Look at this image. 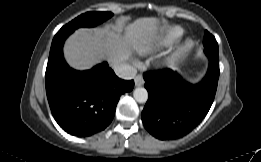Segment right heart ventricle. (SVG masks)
<instances>
[{"instance_id":"1","label":"right heart ventricle","mask_w":261,"mask_h":162,"mask_svg":"<svg viewBox=\"0 0 261 162\" xmlns=\"http://www.w3.org/2000/svg\"><path fill=\"white\" fill-rule=\"evenodd\" d=\"M183 35V29L178 26L168 28L158 39V47H168L176 43Z\"/></svg>"}]
</instances>
